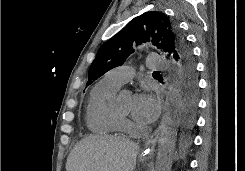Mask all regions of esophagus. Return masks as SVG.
Returning a JSON list of instances; mask_svg holds the SVG:
<instances>
[{
	"mask_svg": "<svg viewBox=\"0 0 245 171\" xmlns=\"http://www.w3.org/2000/svg\"><path fill=\"white\" fill-rule=\"evenodd\" d=\"M159 136V129H157L146 141L142 156L144 158L150 157L154 151L155 144Z\"/></svg>",
	"mask_w": 245,
	"mask_h": 171,
	"instance_id": "esophagus-1",
	"label": "esophagus"
}]
</instances>
